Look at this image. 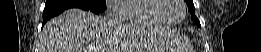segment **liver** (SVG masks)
<instances>
[{"label":"liver","mask_w":261,"mask_h":52,"mask_svg":"<svg viewBox=\"0 0 261 52\" xmlns=\"http://www.w3.org/2000/svg\"><path fill=\"white\" fill-rule=\"evenodd\" d=\"M166 32L159 29L150 36L138 24L71 8L45 24L39 52H126L140 47L150 51L163 47Z\"/></svg>","instance_id":"6515ba94"}]
</instances>
